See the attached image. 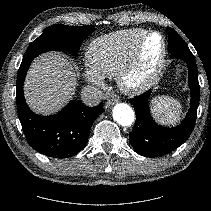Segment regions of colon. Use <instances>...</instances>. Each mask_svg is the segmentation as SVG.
<instances>
[{
  "instance_id": "1",
  "label": "colon",
  "mask_w": 211,
  "mask_h": 211,
  "mask_svg": "<svg viewBox=\"0 0 211 211\" xmlns=\"http://www.w3.org/2000/svg\"><path fill=\"white\" fill-rule=\"evenodd\" d=\"M175 74H176L177 76H180V74H181V69H180V68H176Z\"/></svg>"
}]
</instances>
